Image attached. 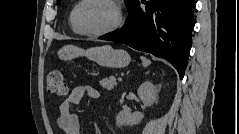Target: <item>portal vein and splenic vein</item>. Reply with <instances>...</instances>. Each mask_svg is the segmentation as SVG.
Instances as JSON below:
<instances>
[{
	"instance_id": "obj_1",
	"label": "portal vein and splenic vein",
	"mask_w": 239,
	"mask_h": 134,
	"mask_svg": "<svg viewBox=\"0 0 239 134\" xmlns=\"http://www.w3.org/2000/svg\"><path fill=\"white\" fill-rule=\"evenodd\" d=\"M118 81H122V78H121V77H119V78H118Z\"/></svg>"
}]
</instances>
